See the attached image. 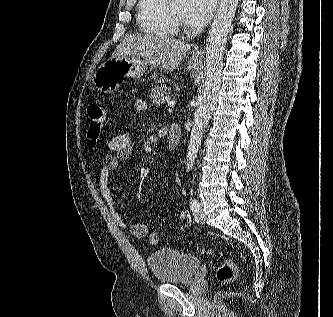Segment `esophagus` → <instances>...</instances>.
<instances>
[{
	"instance_id": "1",
	"label": "esophagus",
	"mask_w": 333,
	"mask_h": 317,
	"mask_svg": "<svg viewBox=\"0 0 333 317\" xmlns=\"http://www.w3.org/2000/svg\"><path fill=\"white\" fill-rule=\"evenodd\" d=\"M202 56V50L197 48L195 51V58H200Z\"/></svg>"
}]
</instances>
